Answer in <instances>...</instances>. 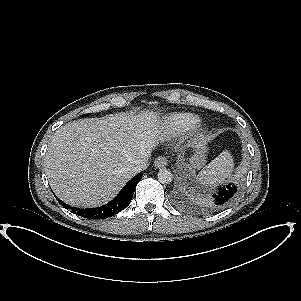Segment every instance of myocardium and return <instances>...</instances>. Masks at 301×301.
<instances>
[{"label":"myocardium","instance_id":"obj_1","mask_svg":"<svg viewBox=\"0 0 301 301\" xmlns=\"http://www.w3.org/2000/svg\"><path fill=\"white\" fill-rule=\"evenodd\" d=\"M209 132V126L203 122H199L194 126L192 135L196 139H203Z\"/></svg>","mask_w":301,"mask_h":301}]
</instances>
